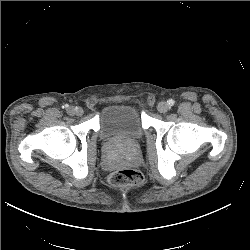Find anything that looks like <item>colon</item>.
I'll use <instances>...</instances> for the list:
<instances>
[{
    "label": "colon",
    "mask_w": 250,
    "mask_h": 250,
    "mask_svg": "<svg viewBox=\"0 0 250 250\" xmlns=\"http://www.w3.org/2000/svg\"><path fill=\"white\" fill-rule=\"evenodd\" d=\"M143 176L133 169H119L109 175V183L114 187H130L141 184Z\"/></svg>",
    "instance_id": "obj_1"
}]
</instances>
